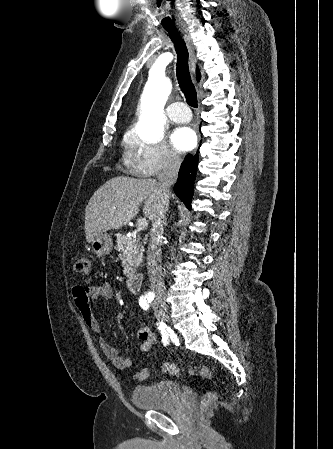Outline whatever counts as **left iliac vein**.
I'll list each match as a JSON object with an SVG mask.
<instances>
[{
  "instance_id": "left-iliac-vein-1",
  "label": "left iliac vein",
  "mask_w": 333,
  "mask_h": 449,
  "mask_svg": "<svg viewBox=\"0 0 333 449\" xmlns=\"http://www.w3.org/2000/svg\"><path fill=\"white\" fill-rule=\"evenodd\" d=\"M155 312L157 313L158 318H160L162 321H167L168 315L166 309H155Z\"/></svg>"
}]
</instances>
